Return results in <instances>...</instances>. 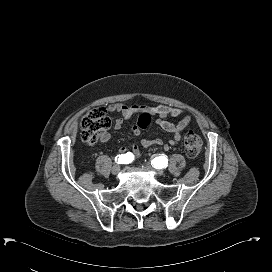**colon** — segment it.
Masks as SVG:
<instances>
[{"instance_id":"obj_1","label":"colon","mask_w":272,"mask_h":272,"mask_svg":"<svg viewBox=\"0 0 272 272\" xmlns=\"http://www.w3.org/2000/svg\"><path fill=\"white\" fill-rule=\"evenodd\" d=\"M149 120L147 114L141 115L139 123L145 124ZM111 120L105 107H96L84 115L80 121L81 138L87 144H95L100 135L109 129ZM184 150L186 155L194 159L201 150V139L198 134L189 131L184 137Z\"/></svg>"}]
</instances>
